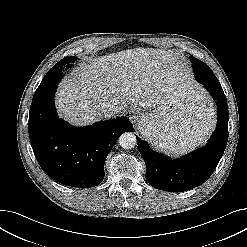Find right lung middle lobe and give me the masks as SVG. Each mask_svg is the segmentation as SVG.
<instances>
[{"label": "right lung middle lobe", "instance_id": "right-lung-middle-lobe-1", "mask_svg": "<svg viewBox=\"0 0 247 247\" xmlns=\"http://www.w3.org/2000/svg\"><path fill=\"white\" fill-rule=\"evenodd\" d=\"M76 60V57L72 56V57H65L63 58L61 61H59L52 69L54 68H59V67H71V63L74 62Z\"/></svg>", "mask_w": 247, "mask_h": 247}]
</instances>
